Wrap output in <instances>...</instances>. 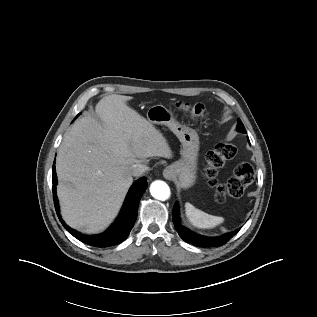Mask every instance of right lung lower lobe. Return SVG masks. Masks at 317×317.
I'll list each match as a JSON object with an SVG mask.
<instances>
[{
	"instance_id": "right-lung-lower-lobe-1",
	"label": "right lung lower lobe",
	"mask_w": 317,
	"mask_h": 317,
	"mask_svg": "<svg viewBox=\"0 0 317 317\" xmlns=\"http://www.w3.org/2000/svg\"><path fill=\"white\" fill-rule=\"evenodd\" d=\"M55 165H53V200L57 215L63 224L64 228L78 240L94 246V247H108L119 244L124 241L129 235L134 222L137 218L138 205L141 196L147 188L146 178L142 177L136 181L130 188L123 208L119 214V217L111 225V227L104 233L99 235H83L80 232L70 228L61 218L59 213V205L56 196L57 176L55 172Z\"/></svg>"
}]
</instances>
